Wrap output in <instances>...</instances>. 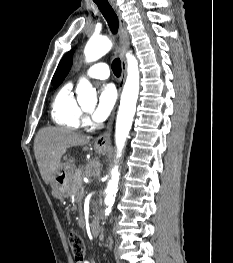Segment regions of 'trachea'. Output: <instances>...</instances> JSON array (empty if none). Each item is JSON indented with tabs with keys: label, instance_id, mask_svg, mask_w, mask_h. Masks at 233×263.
<instances>
[{
	"label": "trachea",
	"instance_id": "trachea-1",
	"mask_svg": "<svg viewBox=\"0 0 233 263\" xmlns=\"http://www.w3.org/2000/svg\"><path fill=\"white\" fill-rule=\"evenodd\" d=\"M94 2L97 4L99 10L108 22L109 28L112 33L116 34L119 25L118 17L109 2L107 0H94ZM112 70L115 76L119 77L121 75V62L119 58L113 60Z\"/></svg>",
	"mask_w": 233,
	"mask_h": 263
}]
</instances>
